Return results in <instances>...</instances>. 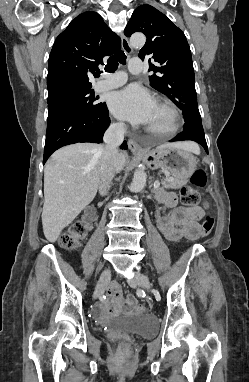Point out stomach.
Segmentation results:
<instances>
[{"label": "stomach", "mask_w": 249, "mask_h": 382, "mask_svg": "<svg viewBox=\"0 0 249 382\" xmlns=\"http://www.w3.org/2000/svg\"><path fill=\"white\" fill-rule=\"evenodd\" d=\"M142 161L152 169H163L174 177L186 179L194 173L197 165V159L191 151L171 144L147 150Z\"/></svg>", "instance_id": "obj_1"}]
</instances>
